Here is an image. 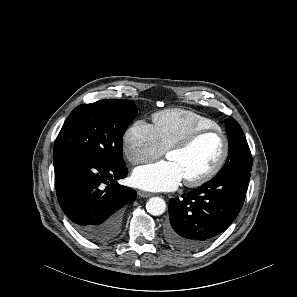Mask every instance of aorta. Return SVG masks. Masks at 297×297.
<instances>
[{
  "instance_id": "obj_1",
  "label": "aorta",
  "mask_w": 297,
  "mask_h": 297,
  "mask_svg": "<svg viewBox=\"0 0 297 297\" xmlns=\"http://www.w3.org/2000/svg\"><path fill=\"white\" fill-rule=\"evenodd\" d=\"M147 211L154 216H159L165 212L166 203L160 197H152L146 203Z\"/></svg>"
}]
</instances>
